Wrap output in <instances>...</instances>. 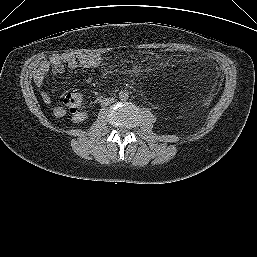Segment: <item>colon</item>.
Masks as SVG:
<instances>
[{
	"label": "colon",
	"instance_id": "5ec220e1",
	"mask_svg": "<svg viewBox=\"0 0 257 257\" xmlns=\"http://www.w3.org/2000/svg\"><path fill=\"white\" fill-rule=\"evenodd\" d=\"M168 53H176L177 50L172 47L165 49ZM63 104L69 109L70 112H76L80 109L82 104V97L76 93L67 94L63 98Z\"/></svg>",
	"mask_w": 257,
	"mask_h": 257
}]
</instances>
